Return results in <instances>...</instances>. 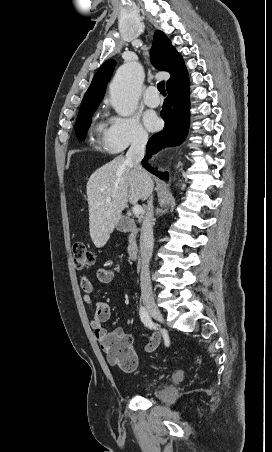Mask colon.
<instances>
[{
	"label": "colon",
	"instance_id": "obj_1",
	"mask_svg": "<svg viewBox=\"0 0 272 452\" xmlns=\"http://www.w3.org/2000/svg\"><path fill=\"white\" fill-rule=\"evenodd\" d=\"M73 263L76 269H83L94 263V255L87 245L77 242L72 248ZM107 358L111 364L117 365L122 370L131 371L137 364L136 354L128 337H118L108 343Z\"/></svg>",
	"mask_w": 272,
	"mask_h": 452
}]
</instances>
